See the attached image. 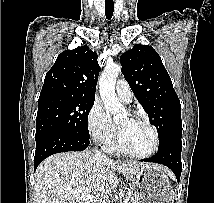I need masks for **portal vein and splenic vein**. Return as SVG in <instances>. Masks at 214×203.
<instances>
[{
  "instance_id": "obj_1",
  "label": "portal vein and splenic vein",
  "mask_w": 214,
  "mask_h": 203,
  "mask_svg": "<svg viewBox=\"0 0 214 203\" xmlns=\"http://www.w3.org/2000/svg\"><path fill=\"white\" fill-rule=\"evenodd\" d=\"M72 194L77 198L81 199L85 203H90L95 199V196L89 193V189L87 188H78L72 190ZM128 200L126 199L125 202Z\"/></svg>"
}]
</instances>
